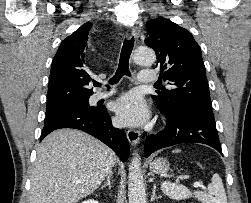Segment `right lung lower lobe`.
Wrapping results in <instances>:
<instances>
[{"label": "right lung lower lobe", "mask_w": 251, "mask_h": 203, "mask_svg": "<svg viewBox=\"0 0 251 203\" xmlns=\"http://www.w3.org/2000/svg\"><path fill=\"white\" fill-rule=\"evenodd\" d=\"M82 130L109 146L124 162L129 157L130 146L123 130L112 126L106 109L63 108L46 114L41 140L56 129Z\"/></svg>", "instance_id": "98d812e1"}]
</instances>
